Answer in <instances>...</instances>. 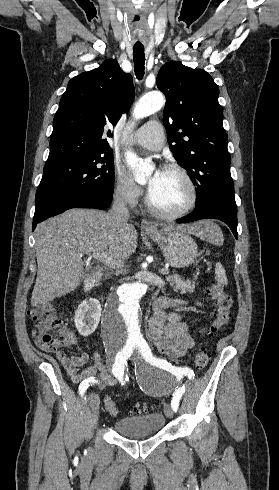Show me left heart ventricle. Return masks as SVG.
<instances>
[{
	"instance_id": "1",
	"label": "left heart ventricle",
	"mask_w": 279,
	"mask_h": 490,
	"mask_svg": "<svg viewBox=\"0 0 279 490\" xmlns=\"http://www.w3.org/2000/svg\"><path fill=\"white\" fill-rule=\"evenodd\" d=\"M150 197L159 208L175 211L187 201L189 191L181 176L175 172L163 170L161 182Z\"/></svg>"
}]
</instances>
